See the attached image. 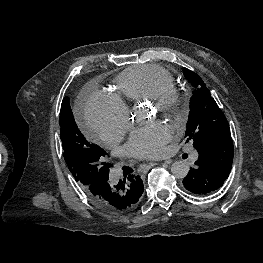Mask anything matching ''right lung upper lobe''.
Masks as SVG:
<instances>
[{"instance_id":"cb5924a9","label":"right lung upper lobe","mask_w":263,"mask_h":263,"mask_svg":"<svg viewBox=\"0 0 263 263\" xmlns=\"http://www.w3.org/2000/svg\"><path fill=\"white\" fill-rule=\"evenodd\" d=\"M143 191H144V186L142 184H140L138 187L135 186L133 188V191L130 192L131 193V195L129 196L130 201H127V203H125L122 207H119L118 209L113 211V213H124L133 209L138 204V201Z\"/></svg>"}]
</instances>
